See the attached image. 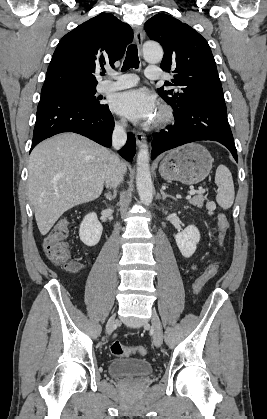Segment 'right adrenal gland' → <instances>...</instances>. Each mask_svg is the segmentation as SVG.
Returning a JSON list of instances; mask_svg holds the SVG:
<instances>
[{
  "instance_id": "1",
  "label": "right adrenal gland",
  "mask_w": 267,
  "mask_h": 419,
  "mask_svg": "<svg viewBox=\"0 0 267 419\" xmlns=\"http://www.w3.org/2000/svg\"><path fill=\"white\" fill-rule=\"evenodd\" d=\"M104 196L107 200L111 201L116 198V190L114 189L113 194L111 192L105 193Z\"/></svg>"
}]
</instances>
